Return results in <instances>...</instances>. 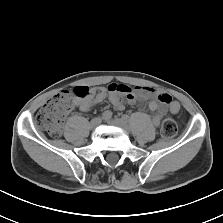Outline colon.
Here are the masks:
<instances>
[{"instance_id":"1","label":"colon","mask_w":223,"mask_h":223,"mask_svg":"<svg viewBox=\"0 0 223 223\" xmlns=\"http://www.w3.org/2000/svg\"><path fill=\"white\" fill-rule=\"evenodd\" d=\"M91 95L88 86H77L73 91L63 90L52 96L35 116L36 125L51 138L58 139L62 134L66 115L73 108L76 99H86ZM177 124L174 119L166 118L161 125L162 136L170 140L176 136Z\"/></svg>"}]
</instances>
